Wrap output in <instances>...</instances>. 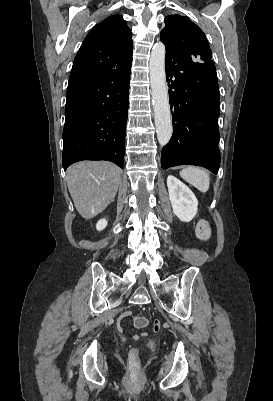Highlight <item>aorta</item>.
<instances>
[{"label": "aorta", "instance_id": "762f6f07", "mask_svg": "<svg viewBox=\"0 0 273 401\" xmlns=\"http://www.w3.org/2000/svg\"><path fill=\"white\" fill-rule=\"evenodd\" d=\"M165 54V45L158 42L151 51L149 62L155 127L157 139L161 146H165L170 141L173 133L166 84Z\"/></svg>", "mask_w": 273, "mask_h": 401}]
</instances>
